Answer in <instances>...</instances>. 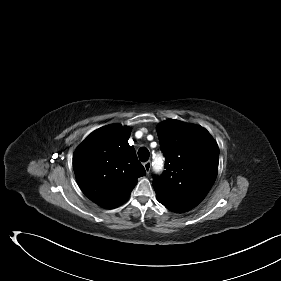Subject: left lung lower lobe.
<instances>
[{"instance_id": "0a47b994", "label": "left lung lower lobe", "mask_w": 281, "mask_h": 281, "mask_svg": "<svg viewBox=\"0 0 281 281\" xmlns=\"http://www.w3.org/2000/svg\"><path fill=\"white\" fill-rule=\"evenodd\" d=\"M167 209L178 212V213H183L186 211L191 210L194 206H189L184 203H174V204H169V205H164Z\"/></svg>"}]
</instances>
